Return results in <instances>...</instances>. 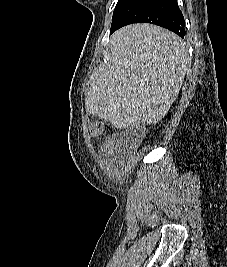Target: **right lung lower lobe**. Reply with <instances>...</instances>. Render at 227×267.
<instances>
[{"mask_svg": "<svg viewBox=\"0 0 227 267\" xmlns=\"http://www.w3.org/2000/svg\"><path fill=\"white\" fill-rule=\"evenodd\" d=\"M153 23L185 35V21L177 0H127L114 17L110 33L132 23Z\"/></svg>", "mask_w": 227, "mask_h": 267, "instance_id": "obj_1", "label": "right lung lower lobe"}]
</instances>
